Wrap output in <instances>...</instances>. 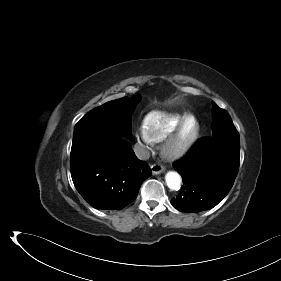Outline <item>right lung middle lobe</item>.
Masks as SVG:
<instances>
[{
  "instance_id": "dd1d6c3e",
  "label": "right lung middle lobe",
  "mask_w": 281,
  "mask_h": 281,
  "mask_svg": "<svg viewBox=\"0 0 281 281\" xmlns=\"http://www.w3.org/2000/svg\"><path fill=\"white\" fill-rule=\"evenodd\" d=\"M140 100L139 95L131 99L123 97L94 108L75 125L73 143L86 137L110 133L131 135V115Z\"/></svg>"
}]
</instances>
